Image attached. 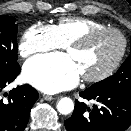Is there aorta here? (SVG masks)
Here are the masks:
<instances>
[{
	"label": "aorta",
	"mask_w": 131,
	"mask_h": 131,
	"mask_svg": "<svg viewBox=\"0 0 131 131\" xmlns=\"http://www.w3.org/2000/svg\"><path fill=\"white\" fill-rule=\"evenodd\" d=\"M73 109H74V103L68 97L61 98L57 103V110L59 113L63 115L70 114L73 111Z\"/></svg>",
	"instance_id": "1"
}]
</instances>
